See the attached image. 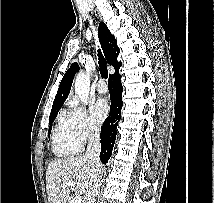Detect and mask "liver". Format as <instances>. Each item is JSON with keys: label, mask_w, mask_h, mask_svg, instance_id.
Returning <instances> with one entry per match:
<instances>
[{"label": "liver", "mask_w": 214, "mask_h": 203, "mask_svg": "<svg viewBox=\"0 0 214 203\" xmlns=\"http://www.w3.org/2000/svg\"><path fill=\"white\" fill-rule=\"evenodd\" d=\"M91 166L83 157L57 160L49 163L46 171V190L49 203H66L70 189L61 188L67 181H74L76 194L85 197L90 186Z\"/></svg>", "instance_id": "liver-1"}]
</instances>
